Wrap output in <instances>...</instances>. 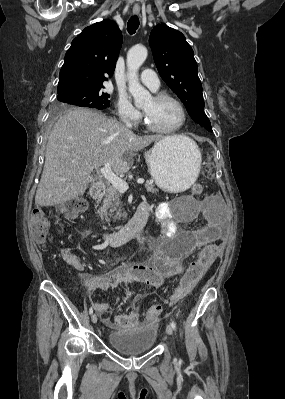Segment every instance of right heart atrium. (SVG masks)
Wrapping results in <instances>:
<instances>
[{"label": "right heart atrium", "mask_w": 285, "mask_h": 399, "mask_svg": "<svg viewBox=\"0 0 285 399\" xmlns=\"http://www.w3.org/2000/svg\"><path fill=\"white\" fill-rule=\"evenodd\" d=\"M117 115L121 120L132 124H137L141 119L140 111L124 96L118 100Z\"/></svg>", "instance_id": "right-heart-atrium-1"}]
</instances>
